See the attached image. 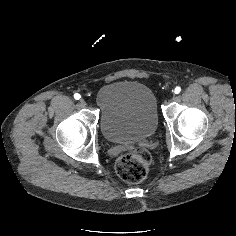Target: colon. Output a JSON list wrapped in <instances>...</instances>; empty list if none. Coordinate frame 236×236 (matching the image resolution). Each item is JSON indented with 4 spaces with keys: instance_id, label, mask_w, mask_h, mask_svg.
Here are the masks:
<instances>
[{
    "instance_id": "obj_1",
    "label": "colon",
    "mask_w": 236,
    "mask_h": 236,
    "mask_svg": "<svg viewBox=\"0 0 236 236\" xmlns=\"http://www.w3.org/2000/svg\"><path fill=\"white\" fill-rule=\"evenodd\" d=\"M150 163L151 156L148 151L135 150L118 159L116 172L128 183H139L146 178Z\"/></svg>"
}]
</instances>
